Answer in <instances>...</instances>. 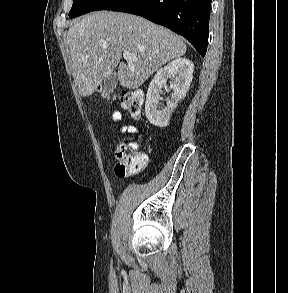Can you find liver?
<instances>
[{
	"instance_id": "6515ba94",
	"label": "liver",
	"mask_w": 288,
	"mask_h": 293,
	"mask_svg": "<svg viewBox=\"0 0 288 293\" xmlns=\"http://www.w3.org/2000/svg\"><path fill=\"white\" fill-rule=\"evenodd\" d=\"M71 69L79 94L87 97L118 66L120 85L140 87L167 62L186 53L181 37L142 17L96 11L75 21L67 33ZM123 52L137 59L120 62Z\"/></svg>"
}]
</instances>
